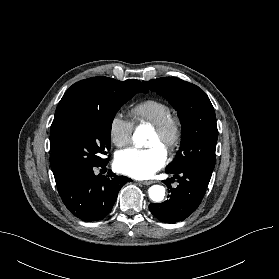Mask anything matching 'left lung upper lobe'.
Instances as JSON below:
<instances>
[{
  "instance_id": "obj_1",
  "label": "left lung upper lobe",
  "mask_w": 279,
  "mask_h": 279,
  "mask_svg": "<svg viewBox=\"0 0 279 279\" xmlns=\"http://www.w3.org/2000/svg\"><path fill=\"white\" fill-rule=\"evenodd\" d=\"M143 83L166 98L178 111L181 120V147L166 171L186 169L211 178L218 130L214 108L206 93L198 86L175 77H162Z\"/></svg>"
}]
</instances>
